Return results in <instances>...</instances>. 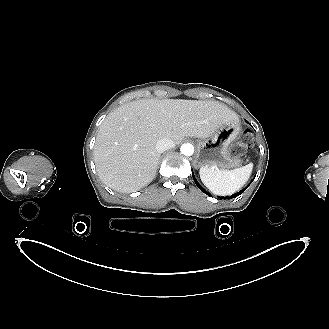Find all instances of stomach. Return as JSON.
Listing matches in <instances>:
<instances>
[{
    "instance_id": "0dacf381",
    "label": "stomach",
    "mask_w": 329,
    "mask_h": 329,
    "mask_svg": "<svg viewBox=\"0 0 329 329\" xmlns=\"http://www.w3.org/2000/svg\"><path fill=\"white\" fill-rule=\"evenodd\" d=\"M241 131L239 119L230 120L223 124L210 138L199 143V151L195 159L196 167L229 170L242 165L239 154H231L230 149L237 147Z\"/></svg>"
}]
</instances>
